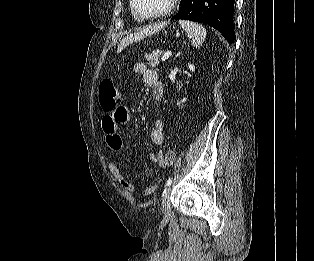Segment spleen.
<instances>
[{
	"label": "spleen",
	"instance_id": "spleen-1",
	"mask_svg": "<svg viewBox=\"0 0 314 261\" xmlns=\"http://www.w3.org/2000/svg\"><path fill=\"white\" fill-rule=\"evenodd\" d=\"M180 26L191 38V44L193 47H199L204 42L207 32L206 29L195 22L181 20Z\"/></svg>",
	"mask_w": 314,
	"mask_h": 261
}]
</instances>
